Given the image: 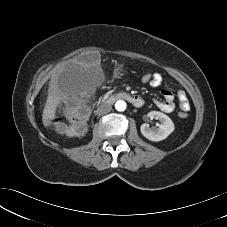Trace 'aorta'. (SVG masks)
<instances>
[{"instance_id": "obj_1", "label": "aorta", "mask_w": 227, "mask_h": 227, "mask_svg": "<svg viewBox=\"0 0 227 227\" xmlns=\"http://www.w3.org/2000/svg\"><path fill=\"white\" fill-rule=\"evenodd\" d=\"M126 107H127L126 102L123 101V100H118L115 103V109L117 111H120V112L125 111L126 110Z\"/></svg>"}]
</instances>
